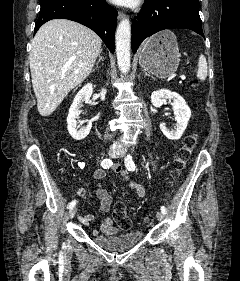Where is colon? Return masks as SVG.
Masks as SVG:
<instances>
[{"label": "colon", "mask_w": 240, "mask_h": 281, "mask_svg": "<svg viewBox=\"0 0 240 281\" xmlns=\"http://www.w3.org/2000/svg\"><path fill=\"white\" fill-rule=\"evenodd\" d=\"M192 85H196L197 81H191ZM197 143V135L192 134L185 138L182 147L178 150L176 159L174 161V167L172 171V178L176 179L181 171L184 169L186 163L189 161L192 151ZM113 217L118 224L119 228L128 230L132 226V222L127 215L125 206L122 203H117L114 207Z\"/></svg>", "instance_id": "colon-1"}]
</instances>
